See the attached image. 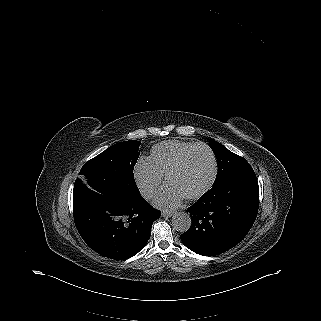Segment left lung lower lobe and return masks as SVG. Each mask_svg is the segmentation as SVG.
<instances>
[{"label":"left lung lower lobe","instance_id":"1","mask_svg":"<svg viewBox=\"0 0 321 321\" xmlns=\"http://www.w3.org/2000/svg\"><path fill=\"white\" fill-rule=\"evenodd\" d=\"M259 206V187L252 168L234 171L201 196L187 211L191 227L183 244L203 256L219 255L237 245L252 227Z\"/></svg>","mask_w":321,"mask_h":321}]
</instances>
